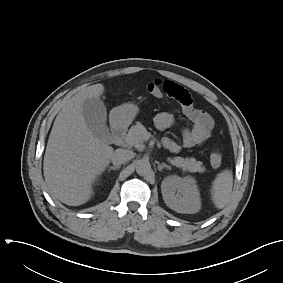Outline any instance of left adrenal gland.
<instances>
[{"label":"left adrenal gland","instance_id":"obj_1","mask_svg":"<svg viewBox=\"0 0 283 283\" xmlns=\"http://www.w3.org/2000/svg\"><path fill=\"white\" fill-rule=\"evenodd\" d=\"M157 168H158V170H159L160 172H161L164 168H167V169L171 170V167L168 166V165L165 164V163H162V164L158 163Z\"/></svg>","mask_w":283,"mask_h":283}]
</instances>
